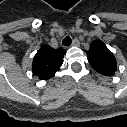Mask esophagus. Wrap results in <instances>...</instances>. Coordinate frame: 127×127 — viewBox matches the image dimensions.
I'll use <instances>...</instances> for the list:
<instances>
[{"mask_svg": "<svg viewBox=\"0 0 127 127\" xmlns=\"http://www.w3.org/2000/svg\"><path fill=\"white\" fill-rule=\"evenodd\" d=\"M72 46H79L80 45V42L77 38L73 39L72 43H71ZM66 47V46H65Z\"/></svg>", "mask_w": 127, "mask_h": 127, "instance_id": "1", "label": "esophagus"}]
</instances>
